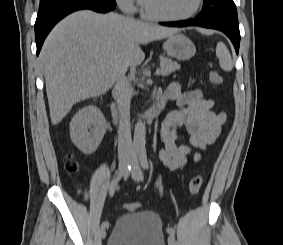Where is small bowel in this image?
<instances>
[{"label":"small bowel","mask_w":283,"mask_h":245,"mask_svg":"<svg viewBox=\"0 0 283 245\" xmlns=\"http://www.w3.org/2000/svg\"><path fill=\"white\" fill-rule=\"evenodd\" d=\"M162 95L175 101L177 109L170 111L162 123L160 139L163 148L159 157L166 167L181 170L190 160H201L202 153L220 136L226 114L213 110L214 101L206 98L200 90L182 91L178 81L171 82ZM181 127L190 136V146L176 143Z\"/></svg>","instance_id":"c3829d8e"}]
</instances>
